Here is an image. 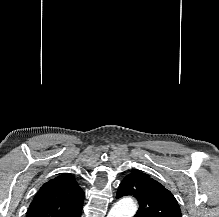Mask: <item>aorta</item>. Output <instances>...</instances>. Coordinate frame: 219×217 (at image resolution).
Here are the masks:
<instances>
[{"mask_svg":"<svg viewBox=\"0 0 219 217\" xmlns=\"http://www.w3.org/2000/svg\"><path fill=\"white\" fill-rule=\"evenodd\" d=\"M137 210L135 201L125 198L118 201L110 210L107 217H132Z\"/></svg>","mask_w":219,"mask_h":217,"instance_id":"1","label":"aorta"}]
</instances>
